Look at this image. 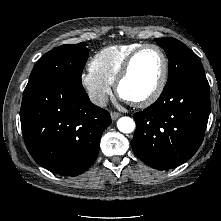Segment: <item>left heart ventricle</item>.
Instances as JSON below:
<instances>
[{
  "instance_id": "obj_1",
  "label": "left heart ventricle",
  "mask_w": 221,
  "mask_h": 221,
  "mask_svg": "<svg viewBox=\"0 0 221 221\" xmlns=\"http://www.w3.org/2000/svg\"><path fill=\"white\" fill-rule=\"evenodd\" d=\"M162 71V59L153 48L142 51L135 59L129 76L121 85V93L128 101L147 97L158 84Z\"/></svg>"
}]
</instances>
